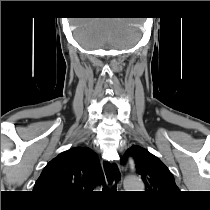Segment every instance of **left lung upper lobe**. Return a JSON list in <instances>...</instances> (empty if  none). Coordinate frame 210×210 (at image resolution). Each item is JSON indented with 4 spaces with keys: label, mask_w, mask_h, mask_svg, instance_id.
Instances as JSON below:
<instances>
[{
    "label": "left lung upper lobe",
    "mask_w": 210,
    "mask_h": 210,
    "mask_svg": "<svg viewBox=\"0 0 210 210\" xmlns=\"http://www.w3.org/2000/svg\"><path fill=\"white\" fill-rule=\"evenodd\" d=\"M131 155L136 163L137 173L141 175L145 183V189L149 193L172 194L178 192L174 177L162 161L148 150L133 145L125 153Z\"/></svg>",
    "instance_id": "left-lung-upper-lobe-1"
}]
</instances>
